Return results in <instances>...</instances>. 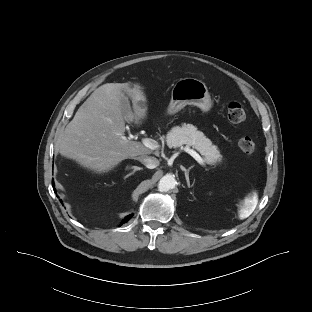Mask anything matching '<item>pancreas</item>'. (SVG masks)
I'll use <instances>...</instances> for the list:
<instances>
[{"label": "pancreas", "mask_w": 312, "mask_h": 312, "mask_svg": "<svg viewBox=\"0 0 312 312\" xmlns=\"http://www.w3.org/2000/svg\"><path fill=\"white\" fill-rule=\"evenodd\" d=\"M169 147L178 148L182 145L196 149L209 165H217L223 157L216 145H213L201 131L191 124H183L182 127H173L166 137Z\"/></svg>", "instance_id": "pancreas-1"}]
</instances>
